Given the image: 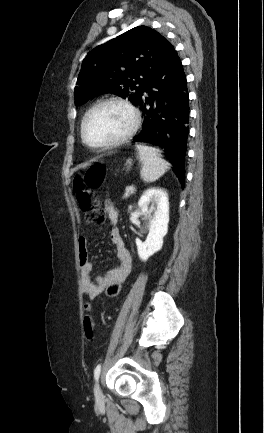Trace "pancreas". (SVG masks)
Instances as JSON below:
<instances>
[{
    "label": "pancreas",
    "mask_w": 264,
    "mask_h": 433,
    "mask_svg": "<svg viewBox=\"0 0 264 433\" xmlns=\"http://www.w3.org/2000/svg\"><path fill=\"white\" fill-rule=\"evenodd\" d=\"M130 194H131V193H129V194H126V193H125V195L123 196V199L128 198V197L130 196Z\"/></svg>",
    "instance_id": "pancreas-1"
}]
</instances>
